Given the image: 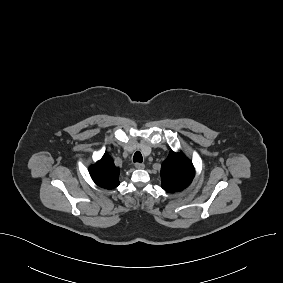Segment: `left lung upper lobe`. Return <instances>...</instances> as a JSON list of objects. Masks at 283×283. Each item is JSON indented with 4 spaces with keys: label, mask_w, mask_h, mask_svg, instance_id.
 <instances>
[{
    "label": "left lung upper lobe",
    "mask_w": 283,
    "mask_h": 283,
    "mask_svg": "<svg viewBox=\"0 0 283 283\" xmlns=\"http://www.w3.org/2000/svg\"><path fill=\"white\" fill-rule=\"evenodd\" d=\"M195 175L192 162L180 152L171 151L162 163V188L167 192H177L190 185Z\"/></svg>",
    "instance_id": "left-lung-upper-lobe-1"
}]
</instances>
